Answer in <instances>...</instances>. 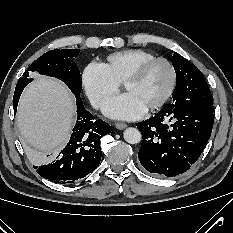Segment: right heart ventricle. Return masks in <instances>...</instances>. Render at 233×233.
Here are the masks:
<instances>
[{
    "instance_id": "1",
    "label": "right heart ventricle",
    "mask_w": 233,
    "mask_h": 233,
    "mask_svg": "<svg viewBox=\"0 0 233 233\" xmlns=\"http://www.w3.org/2000/svg\"><path fill=\"white\" fill-rule=\"evenodd\" d=\"M155 56L142 49H127L110 54L104 64L118 83H123L125 78L141 63Z\"/></svg>"
}]
</instances>
